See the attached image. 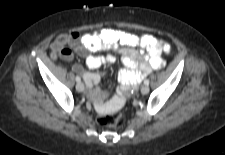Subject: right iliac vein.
<instances>
[{"instance_id":"1","label":"right iliac vein","mask_w":225,"mask_h":155,"mask_svg":"<svg viewBox=\"0 0 225 155\" xmlns=\"http://www.w3.org/2000/svg\"><path fill=\"white\" fill-rule=\"evenodd\" d=\"M76 90H77L78 92H82V91L84 90V84L81 83V82H78V83L76 84Z\"/></svg>"}]
</instances>
